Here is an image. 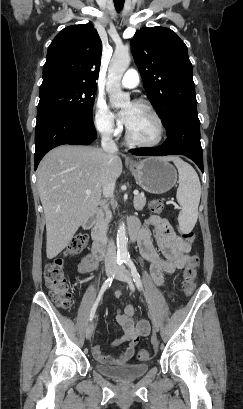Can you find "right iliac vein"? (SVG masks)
Instances as JSON below:
<instances>
[{"label": "right iliac vein", "mask_w": 243, "mask_h": 409, "mask_svg": "<svg viewBox=\"0 0 243 409\" xmlns=\"http://www.w3.org/2000/svg\"><path fill=\"white\" fill-rule=\"evenodd\" d=\"M114 271H115V267H108L107 269H106V275H107V277H110L113 273H114ZM94 329H95V326H94V323H91L89 326H88V328H87V330H86V338H87V340H90L91 339V337H92V335H93V332H94Z\"/></svg>", "instance_id": "1"}]
</instances>
